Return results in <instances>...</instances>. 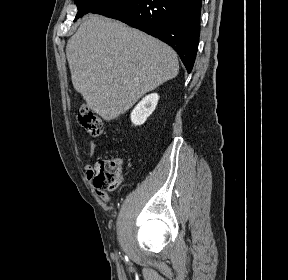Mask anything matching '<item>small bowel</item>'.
<instances>
[{"label": "small bowel", "instance_id": "obj_1", "mask_svg": "<svg viewBox=\"0 0 288 280\" xmlns=\"http://www.w3.org/2000/svg\"><path fill=\"white\" fill-rule=\"evenodd\" d=\"M89 147H90V154L93 155L94 151L97 147V144L94 141H91L89 143ZM85 174L88 180H92L94 178V168L92 166H86L85 167ZM94 192L97 196H99L102 200L104 201H109L110 200V196L101 188H98L96 186H94Z\"/></svg>", "mask_w": 288, "mask_h": 280}]
</instances>
